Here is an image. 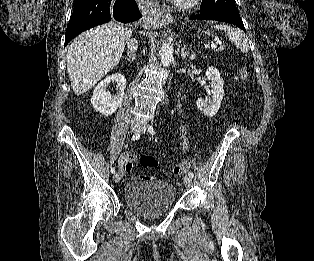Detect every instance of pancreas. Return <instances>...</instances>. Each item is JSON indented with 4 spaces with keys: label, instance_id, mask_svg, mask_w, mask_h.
Masks as SVG:
<instances>
[{
    "label": "pancreas",
    "instance_id": "1",
    "mask_svg": "<svg viewBox=\"0 0 314 261\" xmlns=\"http://www.w3.org/2000/svg\"><path fill=\"white\" fill-rule=\"evenodd\" d=\"M223 46L219 47L218 51H222L223 50Z\"/></svg>",
    "mask_w": 314,
    "mask_h": 261
}]
</instances>
